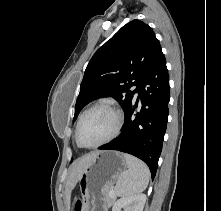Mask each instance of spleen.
<instances>
[{"mask_svg": "<svg viewBox=\"0 0 221 211\" xmlns=\"http://www.w3.org/2000/svg\"><path fill=\"white\" fill-rule=\"evenodd\" d=\"M128 170L123 172L116 183L115 192L118 196L128 197L143 192L149 183L150 171L141 160L124 154Z\"/></svg>", "mask_w": 221, "mask_h": 211, "instance_id": "spleen-1", "label": "spleen"}]
</instances>
